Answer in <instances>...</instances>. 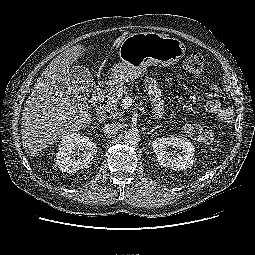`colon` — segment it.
<instances>
[{
  "instance_id": "1",
  "label": "colon",
  "mask_w": 255,
  "mask_h": 255,
  "mask_svg": "<svg viewBox=\"0 0 255 255\" xmlns=\"http://www.w3.org/2000/svg\"><path fill=\"white\" fill-rule=\"evenodd\" d=\"M204 67V58L200 53H192L184 62L183 69L186 76L189 78H198ZM218 104L217 101L212 100L211 107ZM184 132L192 137L197 142L211 143L215 139L214 132L205 126L187 123L184 125Z\"/></svg>"
}]
</instances>
